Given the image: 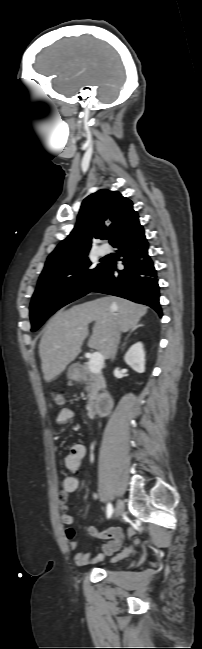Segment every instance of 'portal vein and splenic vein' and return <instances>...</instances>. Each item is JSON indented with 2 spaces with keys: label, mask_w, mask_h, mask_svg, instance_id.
Returning a JSON list of instances; mask_svg holds the SVG:
<instances>
[{
  "label": "portal vein and splenic vein",
  "mask_w": 202,
  "mask_h": 649,
  "mask_svg": "<svg viewBox=\"0 0 202 649\" xmlns=\"http://www.w3.org/2000/svg\"><path fill=\"white\" fill-rule=\"evenodd\" d=\"M103 364H104L103 355L99 352L93 353L89 361L90 372L92 373L100 372L103 367Z\"/></svg>",
  "instance_id": "obj_1"
}]
</instances>
